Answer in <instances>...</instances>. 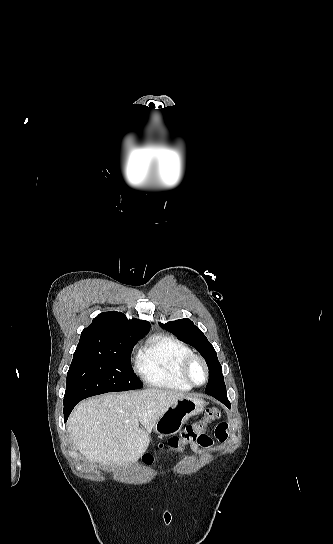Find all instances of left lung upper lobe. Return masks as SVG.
<instances>
[{"mask_svg": "<svg viewBox=\"0 0 333 544\" xmlns=\"http://www.w3.org/2000/svg\"><path fill=\"white\" fill-rule=\"evenodd\" d=\"M164 329L173 333L181 341L193 346L206 360L209 369V381L205 393L224 392L226 387L222 375V367L218 361L214 347L207 340L204 333L194 325L190 319H179L176 321L160 324Z\"/></svg>", "mask_w": 333, "mask_h": 544, "instance_id": "obj_1", "label": "left lung upper lobe"}]
</instances>
